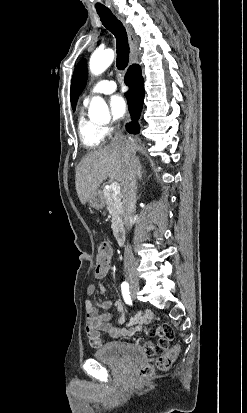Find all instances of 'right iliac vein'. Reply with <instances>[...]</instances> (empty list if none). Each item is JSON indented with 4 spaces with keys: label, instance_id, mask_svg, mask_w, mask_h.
Returning <instances> with one entry per match:
<instances>
[{
    "label": "right iliac vein",
    "instance_id": "obj_1",
    "mask_svg": "<svg viewBox=\"0 0 247 413\" xmlns=\"http://www.w3.org/2000/svg\"><path fill=\"white\" fill-rule=\"evenodd\" d=\"M137 289H138V287H137V286H133V287H131V292L136 293Z\"/></svg>",
    "mask_w": 247,
    "mask_h": 413
}]
</instances>
